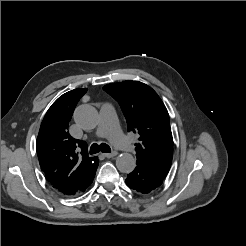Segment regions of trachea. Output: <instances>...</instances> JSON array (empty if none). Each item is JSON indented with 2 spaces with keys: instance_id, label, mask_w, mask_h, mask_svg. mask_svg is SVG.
Here are the masks:
<instances>
[{
  "instance_id": "trachea-1",
  "label": "trachea",
  "mask_w": 246,
  "mask_h": 246,
  "mask_svg": "<svg viewBox=\"0 0 246 246\" xmlns=\"http://www.w3.org/2000/svg\"><path fill=\"white\" fill-rule=\"evenodd\" d=\"M99 151H101L103 153H110L111 148L105 143H101L99 145L96 143H93L90 147V154H96Z\"/></svg>"
}]
</instances>
